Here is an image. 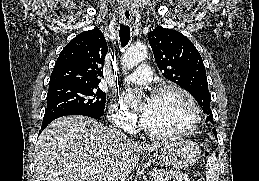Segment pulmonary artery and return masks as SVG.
<instances>
[{
  "instance_id": "1",
  "label": "pulmonary artery",
  "mask_w": 259,
  "mask_h": 181,
  "mask_svg": "<svg viewBox=\"0 0 259 181\" xmlns=\"http://www.w3.org/2000/svg\"><path fill=\"white\" fill-rule=\"evenodd\" d=\"M124 79L133 84L149 83L151 81V68L148 64L144 63L139 67L137 72L125 76Z\"/></svg>"
}]
</instances>
